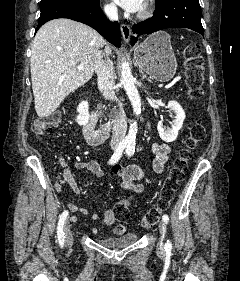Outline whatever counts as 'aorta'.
I'll use <instances>...</instances> for the list:
<instances>
[{
	"label": "aorta",
	"mask_w": 240,
	"mask_h": 281,
	"mask_svg": "<svg viewBox=\"0 0 240 281\" xmlns=\"http://www.w3.org/2000/svg\"><path fill=\"white\" fill-rule=\"evenodd\" d=\"M121 83L132 104L134 113L136 115H139L141 113V99L135 86V80L131 73L129 63L126 60H123V62L121 63ZM137 130V123H132L126 136L127 142H135Z\"/></svg>",
	"instance_id": "aorta-1"
}]
</instances>
